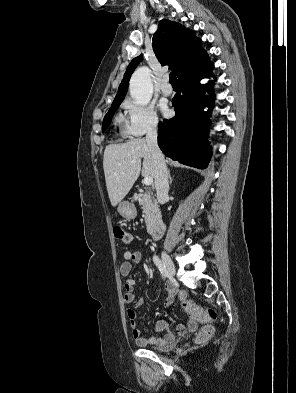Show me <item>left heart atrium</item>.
<instances>
[{
  "instance_id": "39dd6f15",
  "label": "left heart atrium",
  "mask_w": 296,
  "mask_h": 393,
  "mask_svg": "<svg viewBox=\"0 0 296 393\" xmlns=\"http://www.w3.org/2000/svg\"><path fill=\"white\" fill-rule=\"evenodd\" d=\"M164 112L167 113V109L166 108H164Z\"/></svg>"
}]
</instances>
